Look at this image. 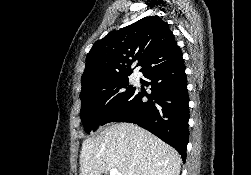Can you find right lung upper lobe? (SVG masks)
Instances as JSON below:
<instances>
[{
  "mask_svg": "<svg viewBox=\"0 0 251 175\" xmlns=\"http://www.w3.org/2000/svg\"><path fill=\"white\" fill-rule=\"evenodd\" d=\"M182 60V52L167 22L149 16L109 32L94 43L86 57L82 88L101 86L129 76L131 65L142 66L143 74Z\"/></svg>",
  "mask_w": 251,
  "mask_h": 175,
  "instance_id": "right-lung-upper-lobe-1",
  "label": "right lung upper lobe"
}]
</instances>
